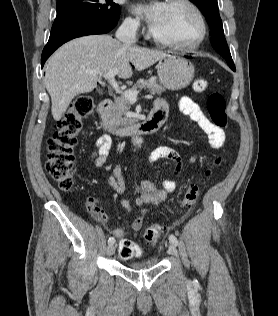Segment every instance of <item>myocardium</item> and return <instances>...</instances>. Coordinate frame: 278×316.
<instances>
[{"instance_id":"myocardium-1","label":"myocardium","mask_w":278,"mask_h":316,"mask_svg":"<svg viewBox=\"0 0 278 316\" xmlns=\"http://www.w3.org/2000/svg\"><path fill=\"white\" fill-rule=\"evenodd\" d=\"M168 4H180L184 5L187 8H189L192 13L195 15L198 25H199V33L197 38L189 44H175L171 42L164 41L160 38H158L152 31V29L149 32L150 39L156 44L161 47L169 48L176 51H182V52H190L195 49H197L205 40L207 35V24L204 18V15L200 8L191 0H167Z\"/></svg>"}]
</instances>
